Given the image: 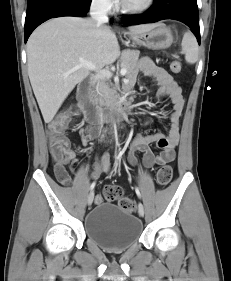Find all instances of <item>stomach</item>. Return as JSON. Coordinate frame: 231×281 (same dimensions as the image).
<instances>
[{
  "label": "stomach",
  "mask_w": 231,
  "mask_h": 281,
  "mask_svg": "<svg viewBox=\"0 0 231 281\" xmlns=\"http://www.w3.org/2000/svg\"><path fill=\"white\" fill-rule=\"evenodd\" d=\"M126 34L136 44L154 50L166 49L173 42L171 30L163 24H155V27L145 32Z\"/></svg>",
  "instance_id": "stomach-1"
}]
</instances>
